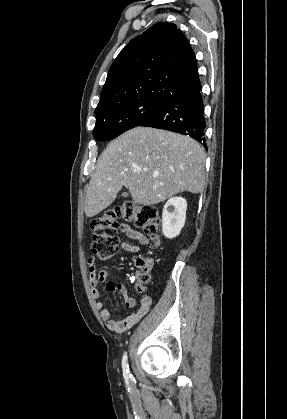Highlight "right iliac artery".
Segmentation results:
<instances>
[{
    "label": "right iliac artery",
    "instance_id": "1",
    "mask_svg": "<svg viewBox=\"0 0 287 419\" xmlns=\"http://www.w3.org/2000/svg\"><path fill=\"white\" fill-rule=\"evenodd\" d=\"M127 353L124 354L123 358H122V369H123V375L125 379H129L131 377V374L129 372V366L127 363Z\"/></svg>",
    "mask_w": 287,
    "mask_h": 419
}]
</instances>
